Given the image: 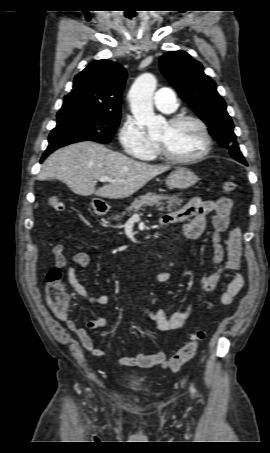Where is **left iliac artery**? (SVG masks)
<instances>
[{"mask_svg":"<svg viewBox=\"0 0 270 453\" xmlns=\"http://www.w3.org/2000/svg\"><path fill=\"white\" fill-rule=\"evenodd\" d=\"M191 391H192V393H194V392H195V390H194V388H193V387H191Z\"/></svg>","mask_w":270,"mask_h":453,"instance_id":"1","label":"left iliac artery"}]
</instances>
